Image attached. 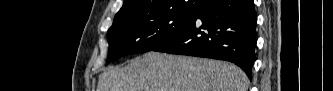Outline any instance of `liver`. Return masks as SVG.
I'll list each match as a JSON object with an SVG mask.
<instances>
[{
	"label": "liver",
	"mask_w": 333,
	"mask_h": 91,
	"mask_svg": "<svg viewBox=\"0 0 333 91\" xmlns=\"http://www.w3.org/2000/svg\"><path fill=\"white\" fill-rule=\"evenodd\" d=\"M248 86L234 64L148 52L101 73L97 91H247Z\"/></svg>",
	"instance_id": "6515ba94"
}]
</instances>
